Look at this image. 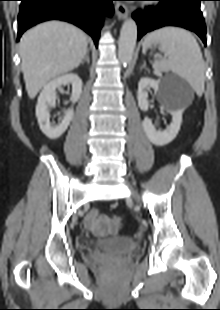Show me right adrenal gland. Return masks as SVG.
I'll use <instances>...</instances> for the list:
<instances>
[{
  "instance_id": "right-adrenal-gland-1",
  "label": "right adrenal gland",
  "mask_w": 220,
  "mask_h": 310,
  "mask_svg": "<svg viewBox=\"0 0 220 310\" xmlns=\"http://www.w3.org/2000/svg\"><path fill=\"white\" fill-rule=\"evenodd\" d=\"M87 62L88 64H90V59H89V51L87 50L84 59L82 60V64H84V62Z\"/></svg>"
}]
</instances>
